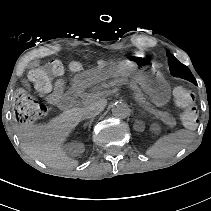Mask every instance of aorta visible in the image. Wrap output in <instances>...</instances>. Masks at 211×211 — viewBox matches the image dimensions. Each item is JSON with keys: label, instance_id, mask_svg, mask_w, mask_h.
Masks as SVG:
<instances>
[{"label": "aorta", "instance_id": "1", "mask_svg": "<svg viewBox=\"0 0 211 211\" xmlns=\"http://www.w3.org/2000/svg\"><path fill=\"white\" fill-rule=\"evenodd\" d=\"M112 114L119 119L127 118L130 115V108L127 103L118 101L112 105Z\"/></svg>", "mask_w": 211, "mask_h": 211}]
</instances>
